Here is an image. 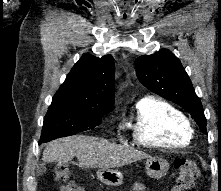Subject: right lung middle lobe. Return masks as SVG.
Returning <instances> with one entry per match:
<instances>
[{
	"instance_id": "dd1d6c3e",
	"label": "right lung middle lobe",
	"mask_w": 221,
	"mask_h": 191,
	"mask_svg": "<svg viewBox=\"0 0 221 191\" xmlns=\"http://www.w3.org/2000/svg\"><path fill=\"white\" fill-rule=\"evenodd\" d=\"M109 112L79 106H50L44 117L40 142L93 129Z\"/></svg>"
}]
</instances>
